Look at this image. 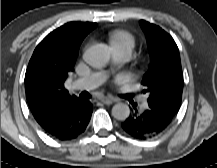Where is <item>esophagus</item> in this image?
I'll return each instance as SVG.
<instances>
[{
  "label": "esophagus",
  "mask_w": 217,
  "mask_h": 168,
  "mask_svg": "<svg viewBox=\"0 0 217 168\" xmlns=\"http://www.w3.org/2000/svg\"><path fill=\"white\" fill-rule=\"evenodd\" d=\"M100 100L104 104H107V105H110L115 101V99L113 97H111V96H103V97L100 98Z\"/></svg>",
  "instance_id": "esophagus-1"
}]
</instances>
